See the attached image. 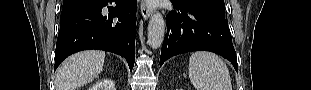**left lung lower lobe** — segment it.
I'll list each match as a JSON object with an SVG mask.
<instances>
[{
	"mask_svg": "<svg viewBox=\"0 0 311 90\" xmlns=\"http://www.w3.org/2000/svg\"><path fill=\"white\" fill-rule=\"evenodd\" d=\"M173 4L176 10L166 16L167 34L162 45L160 66L174 55L203 50L223 56L237 70L236 52L225 17Z\"/></svg>",
	"mask_w": 311,
	"mask_h": 90,
	"instance_id": "left-lung-lower-lobe-1",
	"label": "left lung lower lobe"
}]
</instances>
